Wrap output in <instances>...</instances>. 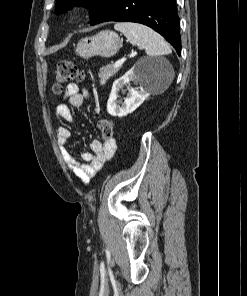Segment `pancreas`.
Instances as JSON below:
<instances>
[{"mask_svg":"<svg viewBox=\"0 0 247 296\" xmlns=\"http://www.w3.org/2000/svg\"><path fill=\"white\" fill-rule=\"evenodd\" d=\"M120 68L121 66L114 67L113 65L101 67L98 73L100 84L104 85L110 79V77L114 76L120 70Z\"/></svg>","mask_w":247,"mask_h":296,"instance_id":"1","label":"pancreas"}]
</instances>
